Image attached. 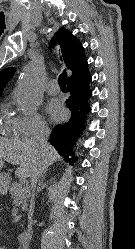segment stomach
Segmentation results:
<instances>
[{"label":"stomach","instance_id":"obj_1","mask_svg":"<svg viewBox=\"0 0 135 249\" xmlns=\"http://www.w3.org/2000/svg\"><path fill=\"white\" fill-rule=\"evenodd\" d=\"M3 167V161H2V159H0V169ZM3 175H0V178L2 177ZM5 176H7V175H5ZM4 187V185H3V183H2V181H1V179H0V190L2 189Z\"/></svg>","mask_w":135,"mask_h":249}]
</instances>
